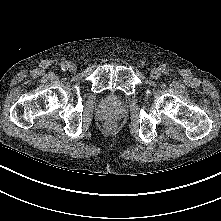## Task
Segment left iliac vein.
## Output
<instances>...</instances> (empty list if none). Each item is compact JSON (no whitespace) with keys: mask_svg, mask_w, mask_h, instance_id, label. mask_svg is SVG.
I'll return each instance as SVG.
<instances>
[{"mask_svg":"<svg viewBox=\"0 0 221 221\" xmlns=\"http://www.w3.org/2000/svg\"><path fill=\"white\" fill-rule=\"evenodd\" d=\"M151 78L153 79H158L161 76V72L159 69L154 68L152 69L151 73H150Z\"/></svg>","mask_w":221,"mask_h":221,"instance_id":"left-iliac-vein-1","label":"left iliac vein"}]
</instances>
